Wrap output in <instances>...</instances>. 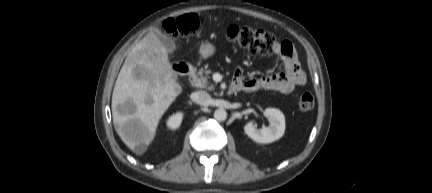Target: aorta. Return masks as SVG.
<instances>
[{"instance_id": "aorta-1", "label": "aorta", "mask_w": 432, "mask_h": 193, "mask_svg": "<svg viewBox=\"0 0 432 193\" xmlns=\"http://www.w3.org/2000/svg\"><path fill=\"white\" fill-rule=\"evenodd\" d=\"M214 118L220 122L225 121L227 118V112L224 109H217L214 112Z\"/></svg>"}]
</instances>
